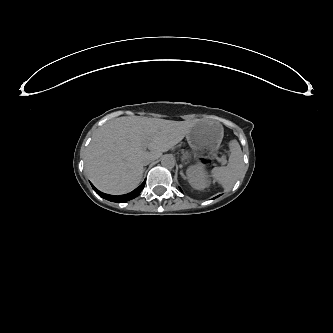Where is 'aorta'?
Returning <instances> with one entry per match:
<instances>
[{"instance_id": "1", "label": "aorta", "mask_w": 333, "mask_h": 333, "mask_svg": "<svg viewBox=\"0 0 333 333\" xmlns=\"http://www.w3.org/2000/svg\"><path fill=\"white\" fill-rule=\"evenodd\" d=\"M176 160L172 154H166L161 159V165L165 168L172 169L175 166Z\"/></svg>"}]
</instances>
